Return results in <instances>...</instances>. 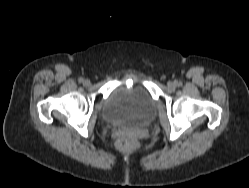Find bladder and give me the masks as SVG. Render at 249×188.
<instances>
[{"label": "bladder", "instance_id": "bladder-1", "mask_svg": "<svg viewBox=\"0 0 249 188\" xmlns=\"http://www.w3.org/2000/svg\"><path fill=\"white\" fill-rule=\"evenodd\" d=\"M102 114L111 123L138 126L152 121L156 103L141 85L119 86L105 103Z\"/></svg>", "mask_w": 249, "mask_h": 188}]
</instances>
